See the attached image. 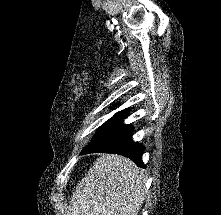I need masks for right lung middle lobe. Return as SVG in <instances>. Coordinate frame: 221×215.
<instances>
[{"mask_svg": "<svg viewBox=\"0 0 221 215\" xmlns=\"http://www.w3.org/2000/svg\"><path fill=\"white\" fill-rule=\"evenodd\" d=\"M123 118L121 117H112L109 119L106 123L103 124V126L100 128L99 132L95 135L93 138V141L103 135L104 133L108 132L110 129H112L114 126H116Z\"/></svg>", "mask_w": 221, "mask_h": 215, "instance_id": "1", "label": "right lung middle lobe"}]
</instances>
